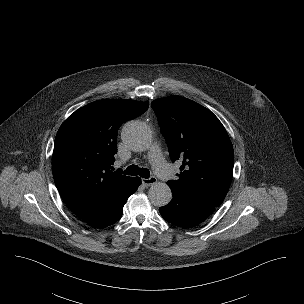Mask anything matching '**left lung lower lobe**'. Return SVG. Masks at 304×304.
<instances>
[{
  "label": "left lung lower lobe",
  "mask_w": 304,
  "mask_h": 304,
  "mask_svg": "<svg viewBox=\"0 0 304 304\" xmlns=\"http://www.w3.org/2000/svg\"><path fill=\"white\" fill-rule=\"evenodd\" d=\"M172 193L173 199L171 202L161 207L159 211L167 222L176 226L194 227L204 221L216 208L179 191L172 190Z\"/></svg>",
  "instance_id": "left-lung-lower-lobe-1"
}]
</instances>
